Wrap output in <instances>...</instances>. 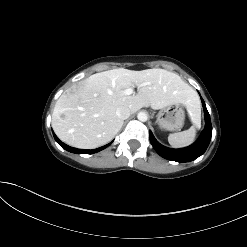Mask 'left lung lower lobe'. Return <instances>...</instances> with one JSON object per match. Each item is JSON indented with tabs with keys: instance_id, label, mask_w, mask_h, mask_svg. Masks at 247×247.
<instances>
[{
	"instance_id": "left-lung-lower-lobe-1",
	"label": "left lung lower lobe",
	"mask_w": 247,
	"mask_h": 247,
	"mask_svg": "<svg viewBox=\"0 0 247 247\" xmlns=\"http://www.w3.org/2000/svg\"><path fill=\"white\" fill-rule=\"evenodd\" d=\"M202 100V105L205 113L206 125L200 136V138L191 146L182 149H171L167 148L154 138L151 131H149L150 142L155 149V151L165 159L176 161V162H189L193 161L199 156H201L207 149L211 136H212V125L210 120V115L207 111L205 102Z\"/></svg>"
}]
</instances>
